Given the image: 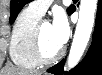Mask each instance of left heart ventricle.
I'll use <instances>...</instances> for the list:
<instances>
[{"label":"left heart ventricle","mask_w":102,"mask_h":75,"mask_svg":"<svg viewBox=\"0 0 102 75\" xmlns=\"http://www.w3.org/2000/svg\"><path fill=\"white\" fill-rule=\"evenodd\" d=\"M40 41L42 50L47 57L53 56L61 49L53 35L51 25L47 22L42 25Z\"/></svg>","instance_id":"left-heart-ventricle-1"}]
</instances>
